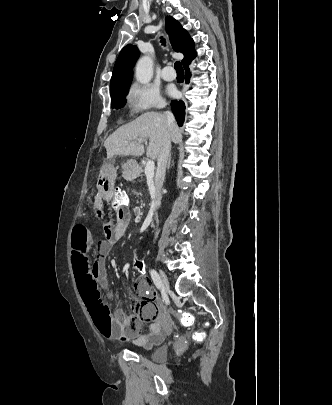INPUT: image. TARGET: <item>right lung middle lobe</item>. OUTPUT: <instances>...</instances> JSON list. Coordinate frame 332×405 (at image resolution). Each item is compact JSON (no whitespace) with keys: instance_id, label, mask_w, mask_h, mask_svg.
Listing matches in <instances>:
<instances>
[{"instance_id":"obj_1","label":"right lung middle lobe","mask_w":332,"mask_h":405,"mask_svg":"<svg viewBox=\"0 0 332 405\" xmlns=\"http://www.w3.org/2000/svg\"><path fill=\"white\" fill-rule=\"evenodd\" d=\"M131 81H126L110 89L112 108H121L125 105L126 95L128 93Z\"/></svg>"}]
</instances>
